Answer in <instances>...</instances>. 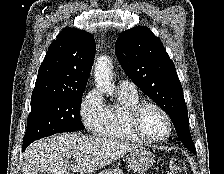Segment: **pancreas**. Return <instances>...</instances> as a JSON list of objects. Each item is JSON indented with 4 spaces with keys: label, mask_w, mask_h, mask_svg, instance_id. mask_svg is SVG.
I'll use <instances>...</instances> for the list:
<instances>
[{
    "label": "pancreas",
    "mask_w": 224,
    "mask_h": 174,
    "mask_svg": "<svg viewBox=\"0 0 224 174\" xmlns=\"http://www.w3.org/2000/svg\"><path fill=\"white\" fill-rule=\"evenodd\" d=\"M106 174H120V173H117L116 171H111V170H106ZM98 174H103V173H98Z\"/></svg>",
    "instance_id": "pancreas-1"
}]
</instances>
